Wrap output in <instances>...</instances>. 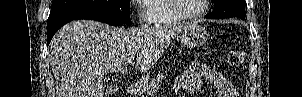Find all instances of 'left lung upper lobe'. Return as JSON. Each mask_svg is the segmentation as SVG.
<instances>
[{
  "mask_svg": "<svg viewBox=\"0 0 302 97\" xmlns=\"http://www.w3.org/2000/svg\"><path fill=\"white\" fill-rule=\"evenodd\" d=\"M215 10L211 14L217 19L228 17L245 18V0H212Z\"/></svg>",
  "mask_w": 302,
  "mask_h": 97,
  "instance_id": "1",
  "label": "left lung upper lobe"
}]
</instances>
